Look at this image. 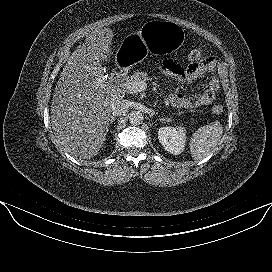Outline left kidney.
<instances>
[{
    "instance_id": "obj_1",
    "label": "left kidney",
    "mask_w": 272,
    "mask_h": 272,
    "mask_svg": "<svg viewBox=\"0 0 272 272\" xmlns=\"http://www.w3.org/2000/svg\"><path fill=\"white\" fill-rule=\"evenodd\" d=\"M158 139L167 152L178 155L185 149L186 129L183 126L161 127L158 130Z\"/></svg>"
}]
</instances>
